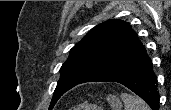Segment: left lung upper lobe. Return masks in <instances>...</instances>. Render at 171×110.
Instances as JSON below:
<instances>
[{"label": "left lung upper lobe", "instance_id": "left-lung-upper-lobe-1", "mask_svg": "<svg viewBox=\"0 0 171 110\" xmlns=\"http://www.w3.org/2000/svg\"><path fill=\"white\" fill-rule=\"evenodd\" d=\"M141 45L137 34L125 21L112 19L94 27L70 50L60 69L61 76L49 110L66 91L120 64Z\"/></svg>", "mask_w": 171, "mask_h": 110}]
</instances>
